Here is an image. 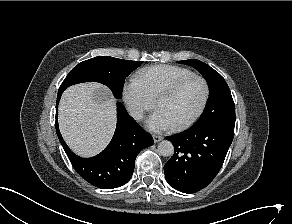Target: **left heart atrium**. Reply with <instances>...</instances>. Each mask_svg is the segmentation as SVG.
<instances>
[{
    "mask_svg": "<svg viewBox=\"0 0 292 224\" xmlns=\"http://www.w3.org/2000/svg\"><path fill=\"white\" fill-rule=\"evenodd\" d=\"M147 127L151 131H164L171 129L173 127L170 120L166 117V115L159 109H157L152 116L147 121Z\"/></svg>",
    "mask_w": 292,
    "mask_h": 224,
    "instance_id": "1",
    "label": "left heart atrium"
}]
</instances>
